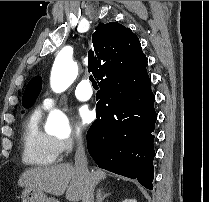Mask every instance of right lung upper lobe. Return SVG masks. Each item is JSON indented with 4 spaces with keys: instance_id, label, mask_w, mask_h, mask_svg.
I'll return each mask as SVG.
<instances>
[{
    "instance_id": "obj_1",
    "label": "right lung upper lobe",
    "mask_w": 209,
    "mask_h": 202,
    "mask_svg": "<svg viewBox=\"0 0 209 202\" xmlns=\"http://www.w3.org/2000/svg\"><path fill=\"white\" fill-rule=\"evenodd\" d=\"M88 71L100 87L116 90L131 85L146 73L147 59L138 37L117 22L100 23L92 36Z\"/></svg>"
}]
</instances>
